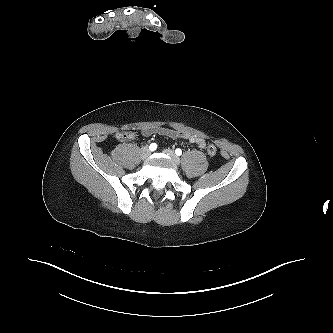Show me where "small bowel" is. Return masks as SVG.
<instances>
[{
  "label": "small bowel",
  "mask_w": 333,
  "mask_h": 333,
  "mask_svg": "<svg viewBox=\"0 0 333 333\" xmlns=\"http://www.w3.org/2000/svg\"><path fill=\"white\" fill-rule=\"evenodd\" d=\"M153 133H158L160 135H165L171 138L182 137L187 139L190 143L197 144L200 148H205L206 142L205 139L189 132H183L179 130L169 129L165 127H156V128H144L142 134L144 136H149Z\"/></svg>",
  "instance_id": "c3829d8e"
}]
</instances>
